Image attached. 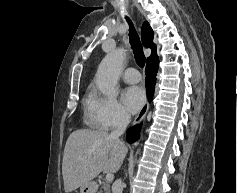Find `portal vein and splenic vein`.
Here are the masks:
<instances>
[{"mask_svg": "<svg viewBox=\"0 0 237 193\" xmlns=\"http://www.w3.org/2000/svg\"><path fill=\"white\" fill-rule=\"evenodd\" d=\"M113 178H114L113 173H107V174H106V180H107V181H112Z\"/></svg>", "mask_w": 237, "mask_h": 193, "instance_id": "18ae733b", "label": "portal vein and splenic vein"}]
</instances>
